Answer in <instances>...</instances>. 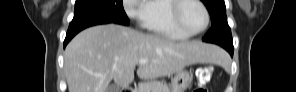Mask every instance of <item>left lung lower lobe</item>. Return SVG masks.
<instances>
[{
	"label": "left lung lower lobe",
	"instance_id": "0a47b994",
	"mask_svg": "<svg viewBox=\"0 0 296 92\" xmlns=\"http://www.w3.org/2000/svg\"><path fill=\"white\" fill-rule=\"evenodd\" d=\"M222 47L225 48L230 53L231 56H233V51H234L233 45H223Z\"/></svg>",
	"mask_w": 296,
	"mask_h": 92
}]
</instances>
